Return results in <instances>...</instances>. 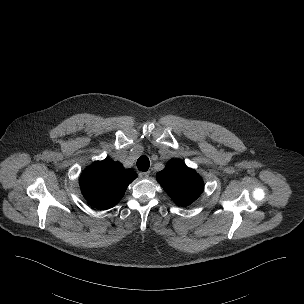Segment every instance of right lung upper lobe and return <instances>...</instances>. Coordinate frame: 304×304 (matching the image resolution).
I'll return each instance as SVG.
<instances>
[{
    "instance_id": "obj_1",
    "label": "right lung upper lobe",
    "mask_w": 304,
    "mask_h": 304,
    "mask_svg": "<svg viewBox=\"0 0 304 304\" xmlns=\"http://www.w3.org/2000/svg\"><path fill=\"white\" fill-rule=\"evenodd\" d=\"M136 176L133 170H125L119 162L109 159L96 161L81 174V192L90 204L108 209L124 196Z\"/></svg>"
}]
</instances>
